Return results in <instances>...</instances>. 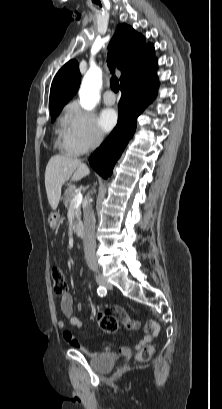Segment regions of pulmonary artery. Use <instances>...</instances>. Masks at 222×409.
Wrapping results in <instances>:
<instances>
[{"mask_svg":"<svg viewBox=\"0 0 222 409\" xmlns=\"http://www.w3.org/2000/svg\"><path fill=\"white\" fill-rule=\"evenodd\" d=\"M103 101L106 105H113L116 102L115 95L111 90H107L103 96Z\"/></svg>","mask_w":222,"mask_h":409,"instance_id":"pulmonary-artery-1","label":"pulmonary artery"}]
</instances>
